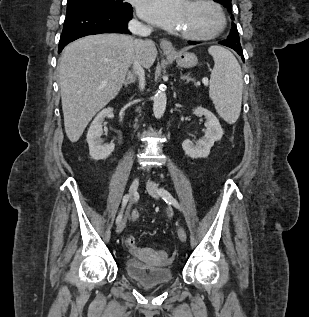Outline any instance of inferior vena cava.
<instances>
[{"label": "inferior vena cava", "instance_id": "602c4592", "mask_svg": "<svg viewBox=\"0 0 309 317\" xmlns=\"http://www.w3.org/2000/svg\"><path fill=\"white\" fill-rule=\"evenodd\" d=\"M128 29L134 34L139 36H148L151 34L152 29L141 24L137 20H131L128 23ZM143 40L135 39L134 40V51L135 57L133 61V72L139 78V87L141 90L145 87V73L143 69V65L141 62V52H142Z\"/></svg>", "mask_w": 309, "mask_h": 317}]
</instances>
